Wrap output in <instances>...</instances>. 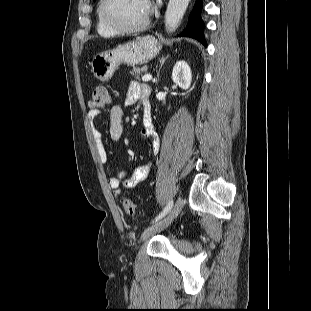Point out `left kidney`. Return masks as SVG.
Returning a JSON list of instances; mask_svg holds the SVG:
<instances>
[{"label": "left kidney", "mask_w": 311, "mask_h": 311, "mask_svg": "<svg viewBox=\"0 0 311 311\" xmlns=\"http://www.w3.org/2000/svg\"><path fill=\"white\" fill-rule=\"evenodd\" d=\"M172 80L184 90L190 87L192 73L189 65L185 61H178L175 64L172 71Z\"/></svg>", "instance_id": "obj_1"}]
</instances>
